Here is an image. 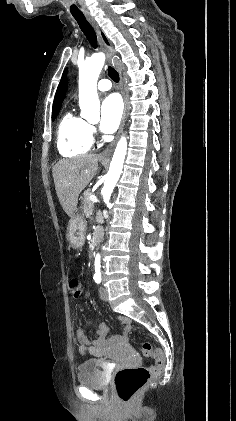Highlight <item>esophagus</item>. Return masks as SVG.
Segmentation results:
<instances>
[{
	"label": "esophagus",
	"instance_id": "obj_1",
	"mask_svg": "<svg viewBox=\"0 0 236 421\" xmlns=\"http://www.w3.org/2000/svg\"><path fill=\"white\" fill-rule=\"evenodd\" d=\"M86 18L90 22V24L92 25L94 30L96 31L99 44H100L101 48L106 51L108 60L110 62H113L114 59H115V56H116L114 49L112 48V46H108L105 43V41L103 40L98 23L92 17H90L88 15L86 16ZM119 73H120V91H121V94H122V97H123V102H124L123 116H122V120H121L119 130H118L117 135L115 136L114 140L98 156L99 160H103V161H108L110 159V156L112 155V152L115 148V145H116V143L119 139V136L121 135V133L123 131V127H124L125 119H126L127 100H126V95H125L124 87H123L124 81H123V78H122V73L121 72H119Z\"/></svg>",
	"mask_w": 236,
	"mask_h": 421
}]
</instances>
